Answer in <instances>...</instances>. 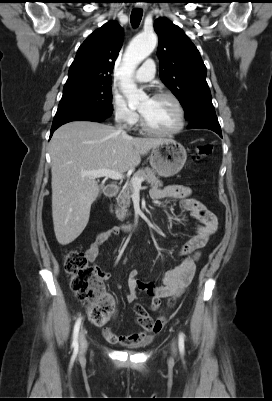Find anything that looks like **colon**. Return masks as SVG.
<instances>
[{"label":"colon","mask_w":272,"mask_h":401,"mask_svg":"<svg viewBox=\"0 0 272 401\" xmlns=\"http://www.w3.org/2000/svg\"><path fill=\"white\" fill-rule=\"evenodd\" d=\"M213 150L214 146L211 143L199 144L194 158L197 160L207 158ZM64 268L71 276V287L76 298L88 304L86 310L88 319L96 326H106L115 312V305L104 292L97 269L90 266L84 253L78 250H71L66 255ZM170 304L173 305L174 300H171ZM135 313L138 321L147 327L161 325L164 322V318L153 320L142 306H138Z\"/></svg>","instance_id":"obj_1"}]
</instances>
